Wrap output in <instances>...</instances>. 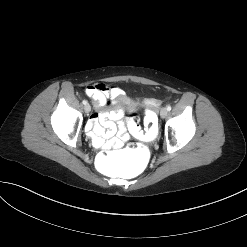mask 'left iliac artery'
Masks as SVG:
<instances>
[{
  "label": "left iliac artery",
  "mask_w": 247,
  "mask_h": 247,
  "mask_svg": "<svg viewBox=\"0 0 247 247\" xmlns=\"http://www.w3.org/2000/svg\"><path fill=\"white\" fill-rule=\"evenodd\" d=\"M166 109H167L168 111H170V110H171V106L168 105Z\"/></svg>",
  "instance_id": "obj_1"
}]
</instances>
